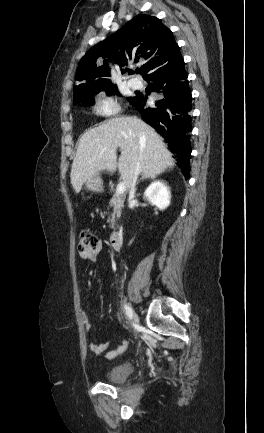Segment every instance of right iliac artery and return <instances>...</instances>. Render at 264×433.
I'll list each match as a JSON object with an SVG mask.
<instances>
[{
  "label": "right iliac artery",
  "mask_w": 264,
  "mask_h": 433,
  "mask_svg": "<svg viewBox=\"0 0 264 433\" xmlns=\"http://www.w3.org/2000/svg\"><path fill=\"white\" fill-rule=\"evenodd\" d=\"M123 307L126 315L129 317V319H132V309L127 304H124Z\"/></svg>",
  "instance_id": "right-iliac-artery-1"
}]
</instances>
